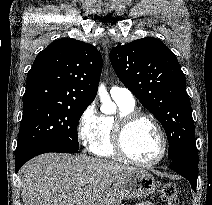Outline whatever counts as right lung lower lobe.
Listing matches in <instances>:
<instances>
[{
    "label": "right lung lower lobe",
    "mask_w": 212,
    "mask_h": 205,
    "mask_svg": "<svg viewBox=\"0 0 212 205\" xmlns=\"http://www.w3.org/2000/svg\"><path fill=\"white\" fill-rule=\"evenodd\" d=\"M78 149L77 147L53 142H41L29 145L15 152V171L17 173L24 163L37 155L48 152L77 153Z\"/></svg>",
    "instance_id": "98d812e1"
}]
</instances>
